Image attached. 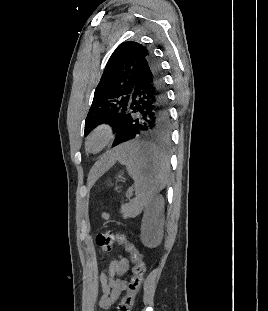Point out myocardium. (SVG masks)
Masks as SVG:
<instances>
[{
	"instance_id": "1",
	"label": "myocardium",
	"mask_w": 268,
	"mask_h": 311,
	"mask_svg": "<svg viewBox=\"0 0 268 311\" xmlns=\"http://www.w3.org/2000/svg\"><path fill=\"white\" fill-rule=\"evenodd\" d=\"M113 129L108 123L97 125L87 136L85 141L86 150L90 153L101 152L110 142Z\"/></svg>"
}]
</instances>
